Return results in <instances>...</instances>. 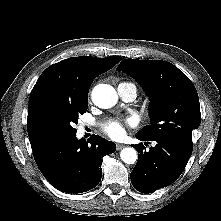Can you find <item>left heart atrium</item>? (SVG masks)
Wrapping results in <instances>:
<instances>
[{"label":"left heart atrium","instance_id":"1","mask_svg":"<svg viewBox=\"0 0 221 221\" xmlns=\"http://www.w3.org/2000/svg\"><path fill=\"white\" fill-rule=\"evenodd\" d=\"M125 125L134 126L133 118H127L124 121L111 120L103 128L104 132L113 139H120L125 135Z\"/></svg>","mask_w":221,"mask_h":221}]
</instances>
